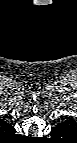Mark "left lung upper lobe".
<instances>
[{"label":"left lung upper lobe","instance_id":"left-lung-upper-lobe-1","mask_svg":"<svg viewBox=\"0 0 77 143\" xmlns=\"http://www.w3.org/2000/svg\"><path fill=\"white\" fill-rule=\"evenodd\" d=\"M70 124L69 122H63L60 125H58L57 127H55L54 129L56 130L55 133L57 134H63L64 131L67 129V127H69Z\"/></svg>","mask_w":77,"mask_h":143}]
</instances>
